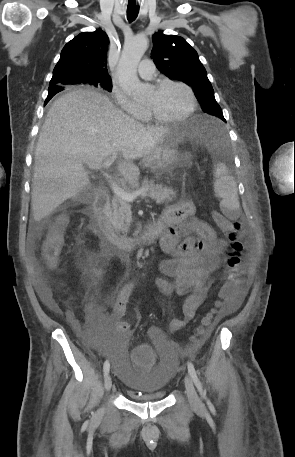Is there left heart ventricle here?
I'll use <instances>...</instances> for the list:
<instances>
[{
    "label": "left heart ventricle",
    "mask_w": 295,
    "mask_h": 457,
    "mask_svg": "<svg viewBox=\"0 0 295 457\" xmlns=\"http://www.w3.org/2000/svg\"><path fill=\"white\" fill-rule=\"evenodd\" d=\"M144 104L153 108L161 116L175 117L189 108L190 98L184 88L168 85L160 90L151 89Z\"/></svg>",
    "instance_id": "left-heart-ventricle-1"
}]
</instances>
